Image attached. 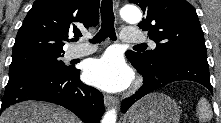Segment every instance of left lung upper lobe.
<instances>
[{"label":"left lung upper lobe","instance_id":"5c2ea615","mask_svg":"<svg viewBox=\"0 0 221 123\" xmlns=\"http://www.w3.org/2000/svg\"><path fill=\"white\" fill-rule=\"evenodd\" d=\"M143 10L145 18L138 26L156 42L151 51H128L129 60L145 66L162 64L177 58L207 61L200 22L194 7L186 0H129Z\"/></svg>","mask_w":221,"mask_h":123}]
</instances>
